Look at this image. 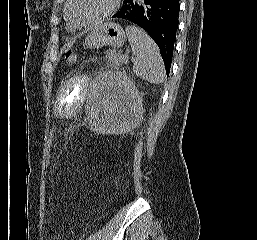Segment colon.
<instances>
[{
    "label": "colon",
    "mask_w": 257,
    "mask_h": 240,
    "mask_svg": "<svg viewBox=\"0 0 257 240\" xmlns=\"http://www.w3.org/2000/svg\"><path fill=\"white\" fill-rule=\"evenodd\" d=\"M77 59H78V55L76 52L74 51H68L66 53V61L69 65H73L77 62ZM53 139L50 138L49 139V154H52V150H53Z\"/></svg>",
    "instance_id": "colon-1"
}]
</instances>
